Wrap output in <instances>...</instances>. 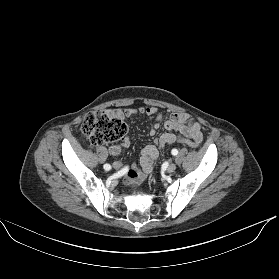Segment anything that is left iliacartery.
Instances as JSON below:
<instances>
[{
  "label": "left iliac artery",
  "mask_w": 279,
  "mask_h": 279,
  "mask_svg": "<svg viewBox=\"0 0 279 279\" xmlns=\"http://www.w3.org/2000/svg\"><path fill=\"white\" fill-rule=\"evenodd\" d=\"M171 153H172V155H177L178 154V150L177 149H172V151H171Z\"/></svg>",
  "instance_id": "44dca946"
}]
</instances>
